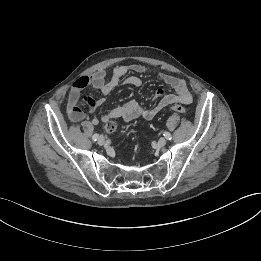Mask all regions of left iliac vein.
I'll list each match as a JSON object with an SVG mask.
<instances>
[{
    "label": "left iliac vein",
    "mask_w": 261,
    "mask_h": 261,
    "mask_svg": "<svg viewBox=\"0 0 261 261\" xmlns=\"http://www.w3.org/2000/svg\"><path fill=\"white\" fill-rule=\"evenodd\" d=\"M166 139L165 138H160L159 140H158V145H159V147H164L165 145H166Z\"/></svg>",
    "instance_id": "left-iliac-vein-1"
}]
</instances>
